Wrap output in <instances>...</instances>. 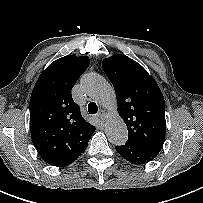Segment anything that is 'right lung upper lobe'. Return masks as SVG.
<instances>
[{"label": "right lung upper lobe", "mask_w": 203, "mask_h": 203, "mask_svg": "<svg viewBox=\"0 0 203 203\" xmlns=\"http://www.w3.org/2000/svg\"><path fill=\"white\" fill-rule=\"evenodd\" d=\"M87 56L55 60L39 76L30 98L32 142L51 165H69L86 149L95 126L86 122L71 89L89 65Z\"/></svg>", "instance_id": "obj_1"}]
</instances>
